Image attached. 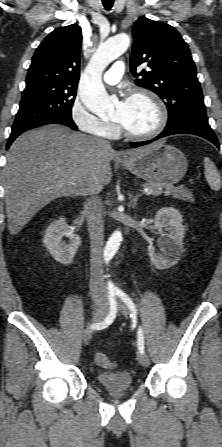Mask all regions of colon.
Here are the masks:
<instances>
[{
  "mask_svg": "<svg viewBox=\"0 0 222 447\" xmlns=\"http://www.w3.org/2000/svg\"><path fill=\"white\" fill-rule=\"evenodd\" d=\"M94 360L97 365L103 367H112L115 365V363L103 353H97L94 357Z\"/></svg>",
  "mask_w": 222,
  "mask_h": 447,
  "instance_id": "1",
  "label": "colon"
}]
</instances>
